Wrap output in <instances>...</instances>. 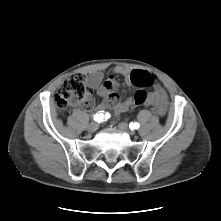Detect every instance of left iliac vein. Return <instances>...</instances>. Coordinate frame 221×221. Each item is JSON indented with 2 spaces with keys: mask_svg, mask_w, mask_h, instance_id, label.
Listing matches in <instances>:
<instances>
[{
  "mask_svg": "<svg viewBox=\"0 0 221 221\" xmlns=\"http://www.w3.org/2000/svg\"><path fill=\"white\" fill-rule=\"evenodd\" d=\"M118 127L121 131L126 132L129 135H134L135 134V132L133 130L129 129L128 125L125 122L119 123Z\"/></svg>",
  "mask_w": 221,
  "mask_h": 221,
  "instance_id": "left-iliac-vein-1",
  "label": "left iliac vein"
}]
</instances>
